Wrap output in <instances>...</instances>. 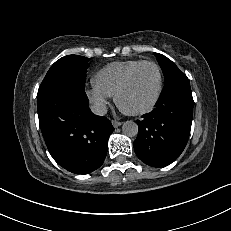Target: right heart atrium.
Listing matches in <instances>:
<instances>
[{
  "label": "right heart atrium",
  "mask_w": 231,
  "mask_h": 231,
  "mask_svg": "<svg viewBox=\"0 0 231 231\" xmlns=\"http://www.w3.org/2000/svg\"><path fill=\"white\" fill-rule=\"evenodd\" d=\"M86 95L96 111L104 113L109 105L110 95L100 90L95 84L86 90Z\"/></svg>",
  "instance_id": "d8ad5b80"
}]
</instances>
